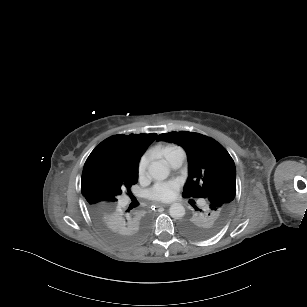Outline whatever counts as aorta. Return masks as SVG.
I'll return each instance as SVG.
<instances>
[{
	"instance_id": "aorta-1",
	"label": "aorta",
	"mask_w": 307,
	"mask_h": 307,
	"mask_svg": "<svg viewBox=\"0 0 307 307\" xmlns=\"http://www.w3.org/2000/svg\"><path fill=\"white\" fill-rule=\"evenodd\" d=\"M147 170L149 176L157 181H162L169 175L168 162L166 160L150 162ZM169 213L172 218L181 219L185 215V208L181 203H173L170 206Z\"/></svg>"
}]
</instances>
